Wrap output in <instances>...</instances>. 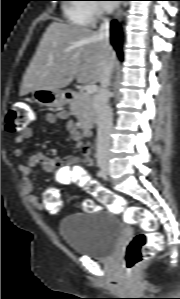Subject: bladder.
<instances>
[{"mask_svg":"<svg viewBox=\"0 0 180 299\" xmlns=\"http://www.w3.org/2000/svg\"><path fill=\"white\" fill-rule=\"evenodd\" d=\"M59 232L69 248L93 259H108L118 248L124 229L109 210L73 213L59 224Z\"/></svg>","mask_w":180,"mask_h":299,"instance_id":"1","label":"bladder"}]
</instances>
